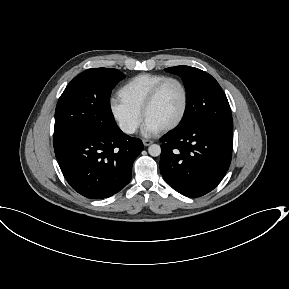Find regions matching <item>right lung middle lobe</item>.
Here are the masks:
<instances>
[{
    "label": "right lung middle lobe",
    "mask_w": 289,
    "mask_h": 289,
    "mask_svg": "<svg viewBox=\"0 0 289 289\" xmlns=\"http://www.w3.org/2000/svg\"><path fill=\"white\" fill-rule=\"evenodd\" d=\"M125 75L116 69H88L65 88L55 110L54 148L91 130L116 127L110 94Z\"/></svg>",
    "instance_id": "1"
}]
</instances>
